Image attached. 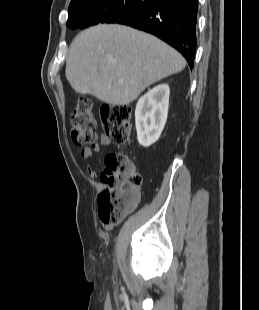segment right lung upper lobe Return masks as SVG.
Returning <instances> with one entry per match:
<instances>
[{"instance_id": "obj_1", "label": "right lung upper lobe", "mask_w": 259, "mask_h": 310, "mask_svg": "<svg viewBox=\"0 0 259 310\" xmlns=\"http://www.w3.org/2000/svg\"><path fill=\"white\" fill-rule=\"evenodd\" d=\"M98 1H101V0H72L70 5H69V9L72 10V9H75L78 7H82V6H86V5L96 3Z\"/></svg>"}]
</instances>
